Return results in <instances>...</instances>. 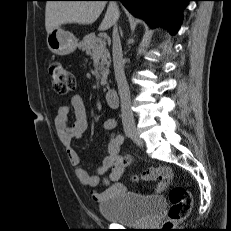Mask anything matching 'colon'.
<instances>
[{
  "instance_id": "colon-1",
  "label": "colon",
  "mask_w": 231,
  "mask_h": 231,
  "mask_svg": "<svg viewBox=\"0 0 231 231\" xmlns=\"http://www.w3.org/2000/svg\"><path fill=\"white\" fill-rule=\"evenodd\" d=\"M49 75L53 89L61 95L68 94L75 88L73 74L66 66L58 61L52 62L49 68ZM128 159H126V163ZM163 175L160 169H150L135 177L144 180L159 179ZM170 208L165 228L169 229L174 223L184 220L190 213L192 198L190 193L181 186H173L168 193Z\"/></svg>"
}]
</instances>
